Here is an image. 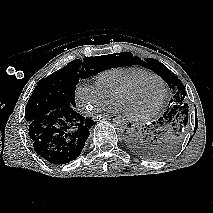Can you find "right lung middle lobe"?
<instances>
[{
  "label": "right lung middle lobe",
  "instance_id": "dd1d6c3e",
  "mask_svg": "<svg viewBox=\"0 0 213 213\" xmlns=\"http://www.w3.org/2000/svg\"><path fill=\"white\" fill-rule=\"evenodd\" d=\"M111 56L74 60L40 80L25 108L26 123L64 106L76 107L75 88L79 80L109 69Z\"/></svg>",
  "mask_w": 213,
  "mask_h": 213
}]
</instances>
